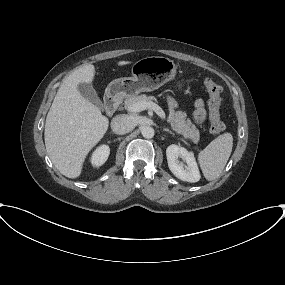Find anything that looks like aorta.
<instances>
[{
  "mask_svg": "<svg viewBox=\"0 0 285 285\" xmlns=\"http://www.w3.org/2000/svg\"><path fill=\"white\" fill-rule=\"evenodd\" d=\"M141 134L144 138L150 139L153 138L155 132L154 129L150 126H145L141 130Z\"/></svg>",
  "mask_w": 285,
  "mask_h": 285,
  "instance_id": "762f6f07",
  "label": "aorta"
}]
</instances>
